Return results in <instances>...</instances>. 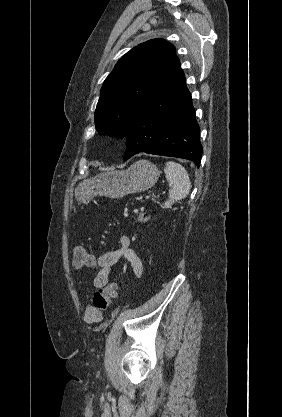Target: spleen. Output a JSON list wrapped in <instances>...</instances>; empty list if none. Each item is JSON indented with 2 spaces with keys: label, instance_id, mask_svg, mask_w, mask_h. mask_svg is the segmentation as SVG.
<instances>
[{
  "label": "spleen",
  "instance_id": "3e777b00",
  "mask_svg": "<svg viewBox=\"0 0 282 417\" xmlns=\"http://www.w3.org/2000/svg\"><path fill=\"white\" fill-rule=\"evenodd\" d=\"M164 172L171 188L169 190V200H165L163 209H172L174 202H178V200L187 196L191 182L186 168L179 162H174V160L165 162Z\"/></svg>",
  "mask_w": 282,
  "mask_h": 417
}]
</instances>
